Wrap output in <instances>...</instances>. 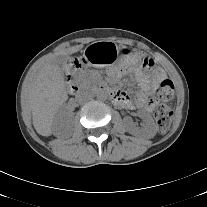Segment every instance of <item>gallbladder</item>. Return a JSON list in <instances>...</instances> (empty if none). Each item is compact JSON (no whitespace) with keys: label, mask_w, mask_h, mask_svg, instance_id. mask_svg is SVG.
Masks as SVG:
<instances>
[{"label":"gallbladder","mask_w":207,"mask_h":207,"mask_svg":"<svg viewBox=\"0 0 207 207\" xmlns=\"http://www.w3.org/2000/svg\"><path fill=\"white\" fill-rule=\"evenodd\" d=\"M68 60V57L63 56V55H59L56 57V61L59 65H64Z\"/></svg>","instance_id":"1"}]
</instances>
